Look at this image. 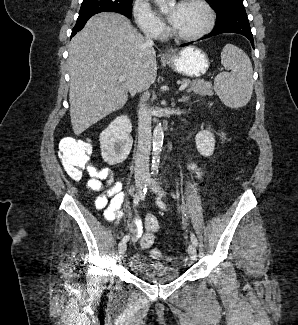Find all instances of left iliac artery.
<instances>
[{
	"label": "left iliac artery",
	"instance_id": "obj_1",
	"mask_svg": "<svg viewBox=\"0 0 298 325\" xmlns=\"http://www.w3.org/2000/svg\"><path fill=\"white\" fill-rule=\"evenodd\" d=\"M157 205H158L159 208H161V209H163V210L166 209V205H165V203L161 200L160 197L157 198ZM191 241H192V243H193L195 246L198 245L197 239H196V237H195V235H194L193 233H191Z\"/></svg>",
	"mask_w": 298,
	"mask_h": 325
}]
</instances>
